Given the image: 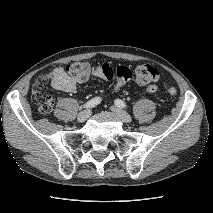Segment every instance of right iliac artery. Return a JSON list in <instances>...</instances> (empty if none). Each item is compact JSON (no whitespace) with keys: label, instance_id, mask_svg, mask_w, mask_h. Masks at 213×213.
I'll return each mask as SVG.
<instances>
[{"label":"right iliac artery","instance_id":"right-iliac-artery-1","mask_svg":"<svg viewBox=\"0 0 213 213\" xmlns=\"http://www.w3.org/2000/svg\"><path fill=\"white\" fill-rule=\"evenodd\" d=\"M101 102V98L100 97H95L91 100H89L88 102H86L84 105H83V108H93L95 107L96 105H98L99 103Z\"/></svg>","mask_w":213,"mask_h":213}]
</instances>
